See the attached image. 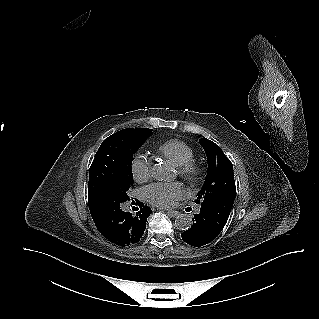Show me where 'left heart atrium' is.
Returning <instances> with one entry per match:
<instances>
[{"mask_svg":"<svg viewBox=\"0 0 319 319\" xmlns=\"http://www.w3.org/2000/svg\"><path fill=\"white\" fill-rule=\"evenodd\" d=\"M178 183H153L144 188L143 193L148 202L159 207H170L182 195Z\"/></svg>","mask_w":319,"mask_h":319,"instance_id":"obj_1","label":"left heart atrium"}]
</instances>
